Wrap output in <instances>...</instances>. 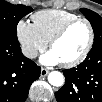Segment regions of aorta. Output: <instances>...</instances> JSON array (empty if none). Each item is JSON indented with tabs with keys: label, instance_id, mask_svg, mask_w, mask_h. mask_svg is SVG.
<instances>
[{
	"label": "aorta",
	"instance_id": "762f6f07",
	"mask_svg": "<svg viewBox=\"0 0 102 102\" xmlns=\"http://www.w3.org/2000/svg\"><path fill=\"white\" fill-rule=\"evenodd\" d=\"M48 82L55 87H60L64 84V76L59 71H52L48 75Z\"/></svg>",
	"mask_w": 102,
	"mask_h": 102
}]
</instances>
